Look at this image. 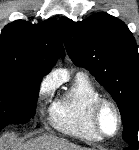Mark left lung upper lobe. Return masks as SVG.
Here are the masks:
<instances>
[{"label": "left lung upper lobe", "mask_w": 139, "mask_h": 150, "mask_svg": "<svg viewBox=\"0 0 139 150\" xmlns=\"http://www.w3.org/2000/svg\"><path fill=\"white\" fill-rule=\"evenodd\" d=\"M59 25L73 63L89 70L117 103L123 140L138 142L139 54L128 27L104 12L79 22L62 17Z\"/></svg>", "instance_id": "obj_1"}]
</instances>
